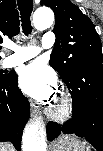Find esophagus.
<instances>
[{
  "instance_id": "esophagus-1",
  "label": "esophagus",
  "mask_w": 103,
  "mask_h": 151,
  "mask_svg": "<svg viewBox=\"0 0 103 151\" xmlns=\"http://www.w3.org/2000/svg\"><path fill=\"white\" fill-rule=\"evenodd\" d=\"M31 114L32 116H35L37 114L36 106L33 103L31 104Z\"/></svg>"
}]
</instances>
